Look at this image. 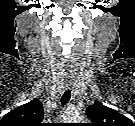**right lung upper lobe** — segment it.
Wrapping results in <instances>:
<instances>
[{
  "label": "right lung upper lobe",
  "mask_w": 135,
  "mask_h": 126,
  "mask_svg": "<svg viewBox=\"0 0 135 126\" xmlns=\"http://www.w3.org/2000/svg\"><path fill=\"white\" fill-rule=\"evenodd\" d=\"M43 118L42 103L38 99H33L5 114L0 126H40Z\"/></svg>",
  "instance_id": "right-lung-upper-lobe-1"
}]
</instances>
